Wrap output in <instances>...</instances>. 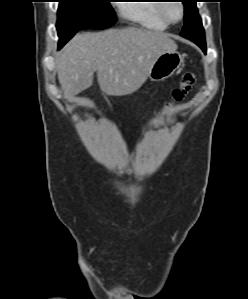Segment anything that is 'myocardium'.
<instances>
[{"label":"myocardium","instance_id":"obj_1","mask_svg":"<svg viewBox=\"0 0 248 299\" xmlns=\"http://www.w3.org/2000/svg\"><path fill=\"white\" fill-rule=\"evenodd\" d=\"M170 3H161L160 7H159V14L161 16V18L167 23V24H177L179 22H181L184 19L185 16V7L184 4L181 1H176V4L179 6L180 8V17L177 20H172L168 14H167V7Z\"/></svg>","mask_w":248,"mask_h":299}]
</instances>
